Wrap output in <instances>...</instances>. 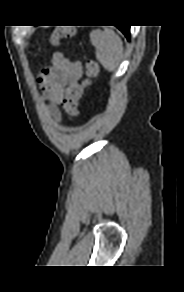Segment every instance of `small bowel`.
Returning <instances> with one entry per match:
<instances>
[{"instance_id":"1","label":"small bowel","mask_w":184,"mask_h":292,"mask_svg":"<svg viewBox=\"0 0 184 292\" xmlns=\"http://www.w3.org/2000/svg\"><path fill=\"white\" fill-rule=\"evenodd\" d=\"M82 77L80 62L70 60L64 53L56 52L51 59V66L39 74V84L45 94L49 111L59 120L61 112L59 105L65 97L66 87L78 83Z\"/></svg>"}]
</instances>
